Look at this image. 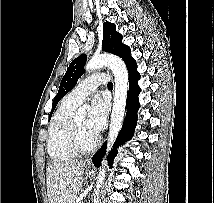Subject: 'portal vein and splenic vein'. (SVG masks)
<instances>
[{"instance_id":"portal-vein-and-splenic-vein-1","label":"portal vein and splenic vein","mask_w":214,"mask_h":203,"mask_svg":"<svg viewBox=\"0 0 214 203\" xmlns=\"http://www.w3.org/2000/svg\"><path fill=\"white\" fill-rule=\"evenodd\" d=\"M77 203H81L80 200H77Z\"/></svg>"}]
</instances>
